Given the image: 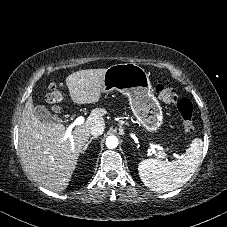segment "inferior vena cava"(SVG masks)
Returning a JSON list of instances; mask_svg holds the SVG:
<instances>
[{
    "instance_id": "1",
    "label": "inferior vena cava",
    "mask_w": 227,
    "mask_h": 227,
    "mask_svg": "<svg viewBox=\"0 0 227 227\" xmlns=\"http://www.w3.org/2000/svg\"><path fill=\"white\" fill-rule=\"evenodd\" d=\"M103 132H104V125L100 123L92 126L90 130L91 135L95 137L102 135Z\"/></svg>"
}]
</instances>
